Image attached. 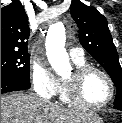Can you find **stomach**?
I'll return each mask as SVG.
<instances>
[{"mask_svg":"<svg viewBox=\"0 0 122 123\" xmlns=\"http://www.w3.org/2000/svg\"><path fill=\"white\" fill-rule=\"evenodd\" d=\"M88 116L85 120H83L80 123H103V120L101 117H99L97 114L93 112H88Z\"/></svg>","mask_w":122,"mask_h":123,"instance_id":"obj_1","label":"stomach"}]
</instances>
